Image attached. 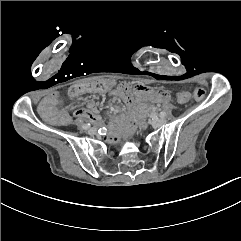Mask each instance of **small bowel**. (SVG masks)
<instances>
[{
	"instance_id": "c3829d8e",
	"label": "small bowel",
	"mask_w": 241,
	"mask_h": 241,
	"mask_svg": "<svg viewBox=\"0 0 241 241\" xmlns=\"http://www.w3.org/2000/svg\"><path fill=\"white\" fill-rule=\"evenodd\" d=\"M108 84V89L106 92L122 98L126 103L127 107H131L132 102L129 100L130 91L125 84H119L115 86V84L109 80H105ZM171 91L167 88H151L149 86H145L143 84H138L133 89V94L136 98L142 99L148 103H167L171 99L169 98V93ZM81 93L80 95H82ZM61 97L59 92L48 96L43 101L42 112L47 119H51L53 114L49 111V106L51 102L56 101ZM74 115L77 116L79 121H91L93 123H98L101 121L100 116L95 111V106L92 102L88 104V108L82 107L75 110ZM70 116L68 114H64L63 116H58L56 121L58 123H63L64 121H68ZM139 124L135 121L126 122L118 127V132L112 134L108 137V140L115 144H121L126 139L132 137L139 128Z\"/></svg>"
}]
</instances>
